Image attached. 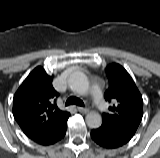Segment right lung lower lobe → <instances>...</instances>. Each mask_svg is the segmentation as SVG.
Masks as SVG:
<instances>
[{
    "label": "right lung lower lobe",
    "mask_w": 160,
    "mask_h": 158,
    "mask_svg": "<svg viewBox=\"0 0 160 158\" xmlns=\"http://www.w3.org/2000/svg\"><path fill=\"white\" fill-rule=\"evenodd\" d=\"M66 129H67V121L57 131L37 140L35 142L40 145H44V146L52 145V144L60 141L65 136Z\"/></svg>",
    "instance_id": "right-lung-lower-lobe-1"
}]
</instances>
